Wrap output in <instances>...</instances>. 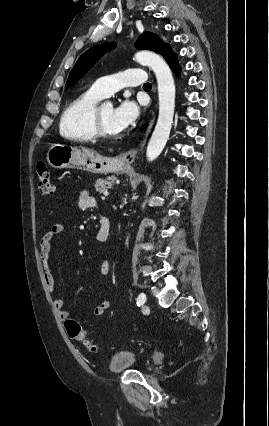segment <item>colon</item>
I'll use <instances>...</instances> for the list:
<instances>
[{"instance_id": "colon-1", "label": "colon", "mask_w": 269, "mask_h": 426, "mask_svg": "<svg viewBox=\"0 0 269 426\" xmlns=\"http://www.w3.org/2000/svg\"><path fill=\"white\" fill-rule=\"evenodd\" d=\"M37 185L40 193L43 195H51L54 192L50 169L43 161L37 164ZM65 328L71 339L81 343L90 351H95L97 349L96 344L82 331L77 320L73 318L66 319Z\"/></svg>"}]
</instances>
